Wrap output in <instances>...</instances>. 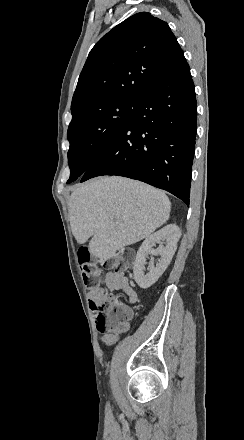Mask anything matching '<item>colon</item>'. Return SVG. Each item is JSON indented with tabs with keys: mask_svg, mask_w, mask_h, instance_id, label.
I'll return each mask as SVG.
<instances>
[{
	"mask_svg": "<svg viewBox=\"0 0 244 440\" xmlns=\"http://www.w3.org/2000/svg\"><path fill=\"white\" fill-rule=\"evenodd\" d=\"M133 248H118L117 254L119 258H113L110 261L112 270L116 273L132 270L134 261ZM77 255L79 257V269L83 272L85 283V293H96V280L100 278L99 262H88L90 260L89 248H78ZM110 268L108 265L105 267ZM118 294H106L104 301L98 304L97 299L92 298L89 301L90 312L93 319H104L107 330L114 329L122 331L126 328L130 314L133 313L132 305H124L120 302Z\"/></svg>",
	"mask_w": 244,
	"mask_h": 440,
	"instance_id": "colon-1",
	"label": "colon"
}]
</instances>
